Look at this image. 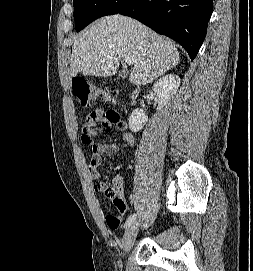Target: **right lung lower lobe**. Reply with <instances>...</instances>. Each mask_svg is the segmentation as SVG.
<instances>
[{
  "instance_id": "1",
  "label": "right lung lower lobe",
  "mask_w": 253,
  "mask_h": 271,
  "mask_svg": "<svg viewBox=\"0 0 253 271\" xmlns=\"http://www.w3.org/2000/svg\"><path fill=\"white\" fill-rule=\"evenodd\" d=\"M212 11L213 0H126L117 13L178 41L193 60L206 36Z\"/></svg>"
}]
</instances>
